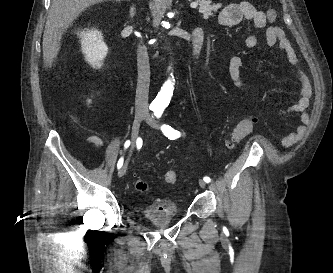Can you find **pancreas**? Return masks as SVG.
Here are the masks:
<instances>
[{
    "label": "pancreas",
    "mask_w": 333,
    "mask_h": 273,
    "mask_svg": "<svg viewBox=\"0 0 333 273\" xmlns=\"http://www.w3.org/2000/svg\"><path fill=\"white\" fill-rule=\"evenodd\" d=\"M199 2V12L203 15L204 19H208L213 16L212 11L217 10L216 5H211L210 0H197Z\"/></svg>",
    "instance_id": "1"
}]
</instances>
